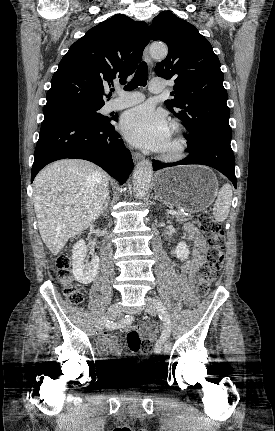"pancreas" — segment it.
I'll return each mask as SVG.
<instances>
[{
    "instance_id": "obj_1",
    "label": "pancreas",
    "mask_w": 275,
    "mask_h": 431,
    "mask_svg": "<svg viewBox=\"0 0 275 431\" xmlns=\"http://www.w3.org/2000/svg\"><path fill=\"white\" fill-rule=\"evenodd\" d=\"M173 218L177 221V222H184L187 221L188 218L186 216H184L183 214L178 213L177 215H173Z\"/></svg>"
}]
</instances>
